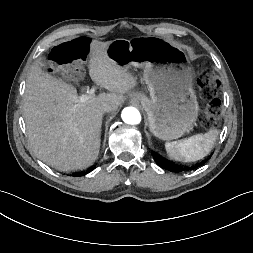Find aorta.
Listing matches in <instances>:
<instances>
[{"label":"aorta","instance_id":"obj_1","mask_svg":"<svg viewBox=\"0 0 253 253\" xmlns=\"http://www.w3.org/2000/svg\"><path fill=\"white\" fill-rule=\"evenodd\" d=\"M122 120L130 125H137L141 122V114L134 107H126L121 113Z\"/></svg>","mask_w":253,"mask_h":253}]
</instances>
